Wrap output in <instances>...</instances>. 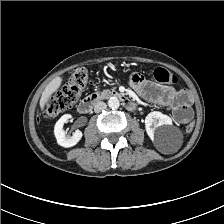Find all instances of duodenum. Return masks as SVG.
<instances>
[{"label":"duodenum","instance_id":"duodenum-1","mask_svg":"<svg viewBox=\"0 0 224 224\" xmlns=\"http://www.w3.org/2000/svg\"><path fill=\"white\" fill-rule=\"evenodd\" d=\"M112 97L120 99L122 101L124 107L128 111L135 110V104L130 98L124 96L119 91L107 89V90L92 93L89 96H87L85 99H83L79 103V105L77 107V111L80 114H87L92 109V107L95 104H97L99 101H101L104 98H112Z\"/></svg>","mask_w":224,"mask_h":224}]
</instances>
